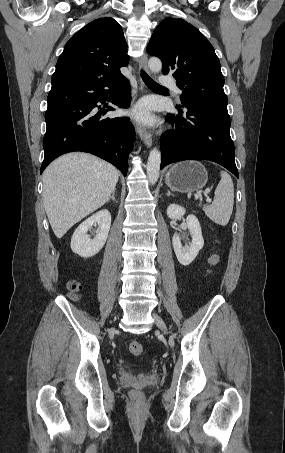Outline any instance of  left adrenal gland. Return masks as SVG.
<instances>
[{"label": "left adrenal gland", "mask_w": 285, "mask_h": 453, "mask_svg": "<svg viewBox=\"0 0 285 453\" xmlns=\"http://www.w3.org/2000/svg\"><path fill=\"white\" fill-rule=\"evenodd\" d=\"M166 196H174V194H172V193L170 192V190H168Z\"/></svg>", "instance_id": "left-adrenal-gland-1"}]
</instances>
